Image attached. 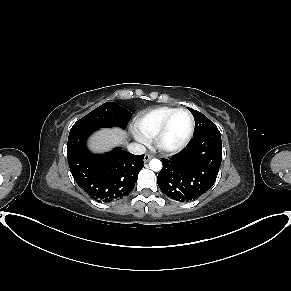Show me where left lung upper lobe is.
<instances>
[{
  "instance_id": "obj_1",
  "label": "left lung upper lobe",
  "mask_w": 291,
  "mask_h": 291,
  "mask_svg": "<svg viewBox=\"0 0 291 291\" xmlns=\"http://www.w3.org/2000/svg\"><path fill=\"white\" fill-rule=\"evenodd\" d=\"M188 109L192 113L195 120V130L193 137L199 136L210 130L218 129L216 125L212 121H210L205 115L194 109L191 108Z\"/></svg>"
}]
</instances>
